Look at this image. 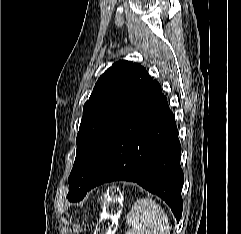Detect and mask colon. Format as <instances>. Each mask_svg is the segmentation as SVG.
Masks as SVG:
<instances>
[{
	"mask_svg": "<svg viewBox=\"0 0 241 234\" xmlns=\"http://www.w3.org/2000/svg\"><path fill=\"white\" fill-rule=\"evenodd\" d=\"M121 210V195L115 189H109L104 196L103 215L96 229V234H112L115 220Z\"/></svg>",
	"mask_w": 241,
	"mask_h": 234,
	"instance_id": "obj_1",
	"label": "colon"
}]
</instances>
